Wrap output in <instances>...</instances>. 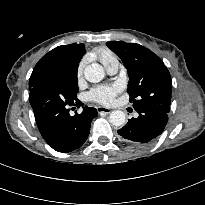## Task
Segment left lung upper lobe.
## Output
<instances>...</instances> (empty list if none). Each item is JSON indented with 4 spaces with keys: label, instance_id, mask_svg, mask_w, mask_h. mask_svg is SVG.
I'll use <instances>...</instances> for the list:
<instances>
[{
    "label": "left lung upper lobe",
    "instance_id": "left-lung-upper-lobe-1",
    "mask_svg": "<svg viewBox=\"0 0 205 205\" xmlns=\"http://www.w3.org/2000/svg\"><path fill=\"white\" fill-rule=\"evenodd\" d=\"M106 44L121 58L128 71L127 92L134 108H151L169 113L172 83L163 61L136 43L111 41Z\"/></svg>",
    "mask_w": 205,
    "mask_h": 205
}]
</instances>
